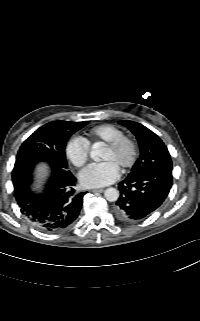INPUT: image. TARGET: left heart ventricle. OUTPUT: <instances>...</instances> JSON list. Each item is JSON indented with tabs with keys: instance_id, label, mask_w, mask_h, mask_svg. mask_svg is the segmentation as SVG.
<instances>
[{
	"instance_id": "1",
	"label": "left heart ventricle",
	"mask_w": 200,
	"mask_h": 321,
	"mask_svg": "<svg viewBox=\"0 0 200 321\" xmlns=\"http://www.w3.org/2000/svg\"><path fill=\"white\" fill-rule=\"evenodd\" d=\"M130 155V148L127 144L122 145L117 150H110L108 148H104L101 159L106 161L110 160L115 163L119 168L127 161Z\"/></svg>"
}]
</instances>
